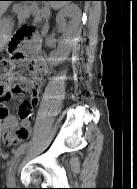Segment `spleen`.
<instances>
[{
  "label": "spleen",
  "mask_w": 137,
  "mask_h": 189,
  "mask_svg": "<svg viewBox=\"0 0 137 189\" xmlns=\"http://www.w3.org/2000/svg\"><path fill=\"white\" fill-rule=\"evenodd\" d=\"M69 2H65V1H50V6L57 10V9H60V8H63L65 6L68 5Z\"/></svg>",
  "instance_id": "obj_1"
}]
</instances>
